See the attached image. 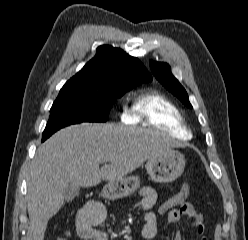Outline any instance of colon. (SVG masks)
I'll use <instances>...</instances> for the list:
<instances>
[{
  "label": "colon",
  "instance_id": "5ec220e1",
  "mask_svg": "<svg viewBox=\"0 0 248 240\" xmlns=\"http://www.w3.org/2000/svg\"><path fill=\"white\" fill-rule=\"evenodd\" d=\"M188 193H189V186L184 185L178 193L170 196L164 202L161 203L158 209L159 214L164 215L169 211L180 207L182 204H184L188 196ZM56 240H67V237L60 236Z\"/></svg>",
  "mask_w": 248,
  "mask_h": 240
}]
</instances>
